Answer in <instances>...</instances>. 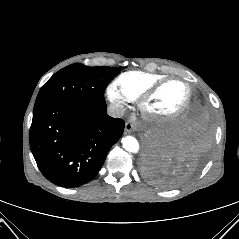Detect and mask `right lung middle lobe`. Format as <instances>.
I'll return each mask as SVG.
<instances>
[{
    "label": "right lung middle lobe",
    "instance_id": "1",
    "mask_svg": "<svg viewBox=\"0 0 239 239\" xmlns=\"http://www.w3.org/2000/svg\"><path fill=\"white\" fill-rule=\"evenodd\" d=\"M120 72L113 67L69 65L55 73L40 89L35 106L58 101L106 104L104 91Z\"/></svg>",
    "mask_w": 239,
    "mask_h": 239
}]
</instances>
